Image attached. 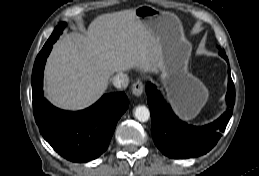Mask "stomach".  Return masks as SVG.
Returning <instances> with one entry per match:
<instances>
[{"label": "stomach", "mask_w": 259, "mask_h": 176, "mask_svg": "<svg viewBox=\"0 0 259 176\" xmlns=\"http://www.w3.org/2000/svg\"><path fill=\"white\" fill-rule=\"evenodd\" d=\"M134 10L160 46L161 82L167 97L180 117L195 118L208 99V90L188 72L191 45L183 36L179 20L150 5Z\"/></svg>", "instance_id": "1"}]
</instances>
